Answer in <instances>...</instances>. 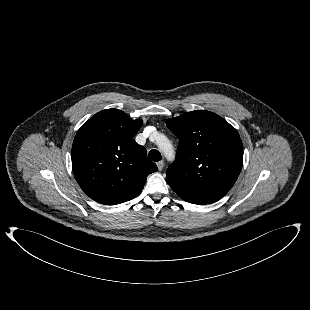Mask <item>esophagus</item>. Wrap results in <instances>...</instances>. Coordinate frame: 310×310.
Segmentation results:
<instances>
[{
  "mask_svg": "<svg viewBox=\"0 0 310 310\" xmlns=\"http://www.w3.org/2000/svg\"><path fill=\"white\" fill-rule=\"evenodd\" d=\"M157 167H158V170L161 171L164 167V161L157 162Z\"/></svg>",
  "mask_w": 310,
  "mask_h": 310,
  "instance_id": "1",
  "label": "esophagus"
}]
</instances>
